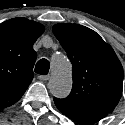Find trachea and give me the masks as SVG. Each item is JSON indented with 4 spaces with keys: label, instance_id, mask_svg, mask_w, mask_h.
<instances>
[{
    "label": "trachea",
    "instance_id": "1",
    "mask_svg": "<svg viewBox=\"0 0 125 125\" xmlns=\"http://www.w3.org/2000/svg\"><path fill=\"white\" fill-rule=\"evenodd\" d=\"M49 69H50V63L47 59L44 58L40 59L35 66V72L41 75L48 74Z\"/></svg>",
    "mask_w": 125,
    "mask_h": 125
}]
</instances>
